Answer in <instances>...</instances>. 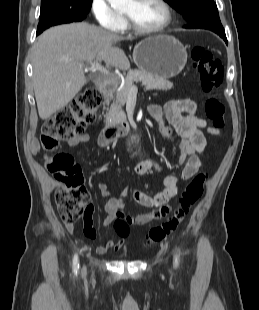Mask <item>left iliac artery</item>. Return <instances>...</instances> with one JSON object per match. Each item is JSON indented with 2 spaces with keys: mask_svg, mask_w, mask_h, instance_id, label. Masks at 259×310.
Segmentation results:
<instances>
[{
  "mask_svg": "<svg viewBox=\"0 0 259 310\" xmlns=\"http://www.w3.org/2000/svg\"><path fill=\"white\" fill-rule=\"evenodd\" d=\"M174 264H175V266L177 267L178 266V264H179V259H178V256L177 255H175V261H174Z\"/></svg>",
  "mask_w": 259,
  "mask_h": 310,
  "instance_id": "1",
  "label": "left iliac artery"
}]
</instances>
